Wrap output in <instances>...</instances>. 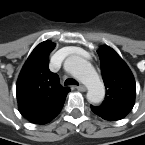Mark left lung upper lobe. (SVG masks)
<instances>
[{
    "label": "left lung upper lobe",
    "mask_w": 145,
    "mask_h": 145,
    "mask_svg": "<svg viewBox=\"0 0 145 145\" xmlns=\"http://www.w3.org/2000/svg\"><path fill=\"white\" fill-rule=\"evenodd\" d=\"M106 96L100 106H91L92 111L109 121L124 118L135 103L136 85L132 72L120 56L110 47L102 46L97 51Z\"/></svg>",
    "instance_id": "1"
}]
</instances>
